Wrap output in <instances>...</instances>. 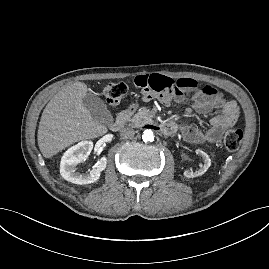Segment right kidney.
Wrapping results in <instances>:
<instances>
[{
  "mask_svg": "<svg viewBox=\"0 0 269 269\" xmlns=\"http://www.w3.org/2000/svg\"><path fill=\"white\" fill-rule=\"evenodd\" d=\"M93 149L92 141H81L70 147L62 156L60 163L61 176L72 183L83 185L97 181L101 172L106 168L107 159L102 157L95 168L84 174L77 171V164L85 161Z\"/></svg>",
  "mask_w": 269,
  "mask_h": 269,
  "instance_id": "ca27d5eb",
  "label": "right kidney"
}]
</instances>
